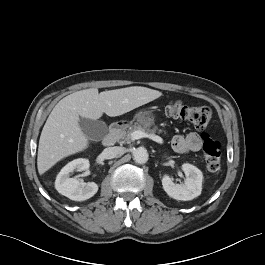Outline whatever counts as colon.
Listing matches in <instances>:
<instances>
[{"label":"colon","instance_id":"5ec220e1","mask_svg":"<svg viewBox=\"0 0 265 265\" xmlns=\"http://www.w3.org/2000/svg\"><path fill=\"white\" fill-rule=\"evenodd\" d=\"M165 114L173 119L189 121L198 129H205L211 123L212 111L206 106H188L175 101L165 107ZM203 152L206 167L210 172H218L221 167V151L218 140L208 134L203 135Z\"/></svg>","mask_w":265,"mask_h":265}]
</instances>
